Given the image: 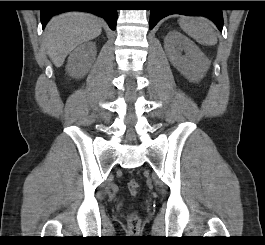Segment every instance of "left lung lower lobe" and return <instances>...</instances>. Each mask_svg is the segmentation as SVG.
Wrapping results in <instances>:
<instances>
[{
  "instance_id": "obj_1",
  "label": "left lung lower lobe",
  "mask_w": 265,
  "mask_h": 245,
  "mask_svg": "<svg viewBox=\"0 0 265 245\" xmlns=\"http://www.w3.org/2000/svg\"><path fill=\"white\" fill-rule=\"evenodd\" d=\"M162 8H155L150 13V29L162 18L171 14L204 16L212 20L218 29L222 31L223 15L219 8L211 7L217 4L215 1H158ZM193 5L208 6V8H191Z\"/></svg>"
}]
</instances>
